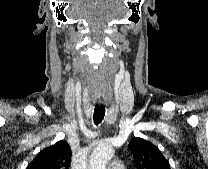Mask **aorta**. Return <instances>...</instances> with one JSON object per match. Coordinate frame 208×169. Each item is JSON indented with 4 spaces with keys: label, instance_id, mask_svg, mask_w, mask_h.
Wrapping results in <instances>:
<instances>
[{
    "label": "aorta",
    "instance_id": "1",
    "mask_svg": "<svg viewBox=\"0 0 208 169\" xmlns=\"http://www.w3.org/2000/svg\"><path fill=\"white\" fill-rule=\"evenodd\" d=\"M114 150L106 143L99 144L90 157V169H106L108 162L113 157Z\"/></svg>",
    "mask_w": 208,
    "mask_h": 169
}]
</instances>
